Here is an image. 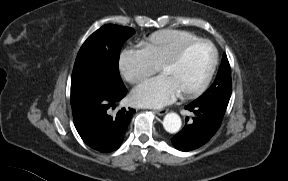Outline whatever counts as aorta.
<instances>
[{
  "label": "aorta",
  "instance_id": "obj_1",
  "mask_svg": "<svg viewBox=\"0 0 288 181\" xmlns=\"http://www.w3.org/2000/svg\"><path fill=\"white\" fill-rule=\"evenodd\" d=\"M182 121L177 113L171 112L165 115L163 127L169 133H176L181 128Z\"/></svg>",
  "mask_w": 288,
  "mask_h": 181
}]
</instances>
